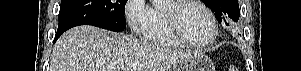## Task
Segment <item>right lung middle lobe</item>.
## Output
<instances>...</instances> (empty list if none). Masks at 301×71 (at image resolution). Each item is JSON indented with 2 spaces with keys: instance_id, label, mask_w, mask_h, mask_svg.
<instances>
[{
  "instance_id": "right-lung-middle-lobe-1",
  "label": "right lung middle lobe",
  "mask_w": 301,
  "mask_h": 71,
  "mask_svg": "<svg viewBox=\"0 0 301 71\" xmlns=\"http://www.w3.org/2000/svg\"><path fill=\"white\" fill-rule=\"evenodd\" d=\"M127 0H61L58 31L78 25H92L111 31L126 29Z\"/></svg>"
}]
</instances>
